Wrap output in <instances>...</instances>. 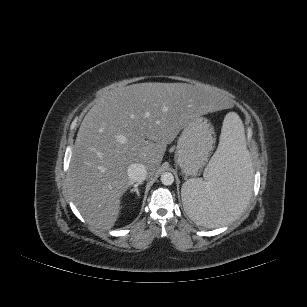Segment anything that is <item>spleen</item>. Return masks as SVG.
<instances>
[{"instance_id":"spleen-1","label":"spleen","mask_w":307,"mask_h":307,"mask_svg":"<svg viewBox=\"0 0 307 307\" xmlns=\"http://www.w3.org/2000/svg\"><path fill=\"white\" fill-rule=\"evenodd\" d=\"M252 190L249 152L244 126L236 113L224 118L218 148L204 172V179L187 180L181 189L189 217L207 228L233 221L248 204Z\"/></svg>"}]
</instances>
